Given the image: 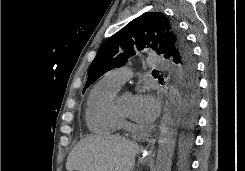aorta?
Instances as JSON below:
<instances>
[{
	"mask_svg": "<svg viewBox=\"0 0 245 171\" xmlns=\"http://www.w3.org/2000/svg\"><path fill=\"white\" fill-rule=\"evenodd\" d=\"M181 94L177 81L169 83V93L160 126L159 147L155 171H171L177 126L180 121Z\"/></svg>",
	"mask_w": 245,
	"mask_h": 171,
	"instance_id": "obj_1",
	"label": "aorta"
}]
</instances>
